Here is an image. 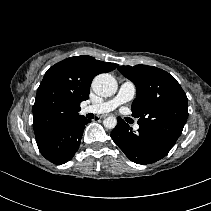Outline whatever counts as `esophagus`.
<instances>
[{
	"label": "esophagus",
	"mask_w": 211,
	"mask_h": 211,
	"mask_svg": "<svg viewBox=\"0 0 211 211\" xmlns=\"http://www.w3.org/2000/svg\"><path fill=\"white\" fill-rule=\"evenodd\" d=\"M108 115L107 114H105V115H102L100 118H106Z\"/></svg>",
	"instance_id": "obj_1"
}]
</instances>
